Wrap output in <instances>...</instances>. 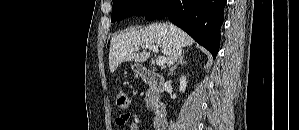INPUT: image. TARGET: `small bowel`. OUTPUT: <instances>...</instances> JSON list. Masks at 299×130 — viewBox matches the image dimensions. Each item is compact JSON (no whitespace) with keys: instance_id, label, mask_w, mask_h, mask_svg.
<instances>
[{"instance_id":"obj_1","label":"small bowel","mask_w":299,"mask_h":130,"mask_svg":"<svg viewBox=\"0 0 299 130\" xmlns=\"http://www.w3.org/2000/svg\"><path fill=\"white\" fill-rule=\"evenodd\" d=\"M128 117H129L128 114H122L116 118V123L118 125H124L125 122L127 121ZM126 129L127 130H139L140 127L136 122H131L126 125Z\"/></svg>"}]
</instances>
